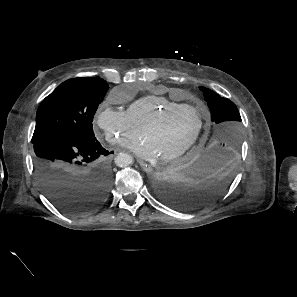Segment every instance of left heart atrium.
Listing matches in <instances>:
<instances>
[{"instance_id": "left-heart-atrium-1", "label": "left heart atrium", "mask_w": 297, "mask_h": 297, "mask_svg": "<svg viewBox=\"0 0 297 297\" xmlns=\"http://www.w3.org/2000/svg\"><path fill=\"white\" fill-rule=\"evenodd\" d=\"M129 148L141 159L155 160L159 153L155 146L147 138H141L129 145Z\"/></svg>"}]
</instances>
